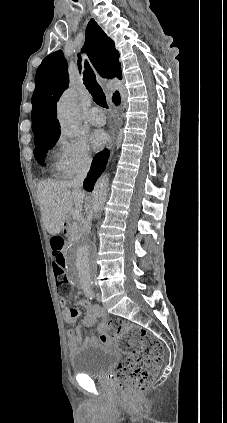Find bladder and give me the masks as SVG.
Masks as SVG:
<instances>
[{
    "mask_svg": "<svg viewBox=\"0 0 227 423\" xmlns=\"http://www.w3.org/2000/svg\"><path fill=\"white\" fill-rule=\"evenodd\" d=\"M118 360L114 352L105 351L100 345H85L71 358V370L91 379L103 380L110 375L109 370Z\"/></svg>",
    "mask_w": 227,
    "mask_h": 423,
    "instance_id": "31cf9c89",
    "label": "bladder"
}]
</instances>
